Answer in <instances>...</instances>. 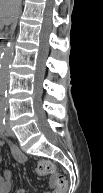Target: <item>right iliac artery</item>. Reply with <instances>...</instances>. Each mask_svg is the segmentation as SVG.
<instances>
[{
  "label": "right iliac artery",
  "instance_id": "obj_1",
  "mask_svg": "<svg viewBox=\"0 0 103 193\" xmlns=\"http://www.w3.org/2000/svg\"><path fill=\"white\" fill-rule=\"evenodd\" d=\"M0 130L4 132L6 130L5 114H0Z\"/></svg>",
  "mask_w": 103,
  "mask_h": 193
}]
</instances>
